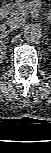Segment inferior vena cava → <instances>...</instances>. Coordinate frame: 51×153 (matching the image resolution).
Here are the masks:
<instances>
[{"instance_id":"obj_1","label":"inferior vena cava","mask_w":51,"mask_h":153,"mask_svg":"<svg viewBox=\"0 0 51 153\" xmlns=\"http://www.w3.org/2000/svg\"><path fill=\"white\" fill-rule=\"evenodd\" d=\"M25 24V19L21 17H10L6 21V25L11 29L19 28Z\"/></svg>"}]
</instances>
